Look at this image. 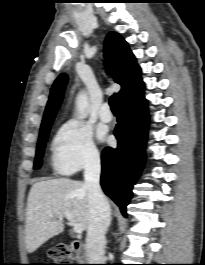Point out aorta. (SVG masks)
<instances>
[{
    "instance_id": "obj_1",
    "label": "aorta",
    "mask_w": 205,
    "mask_h": 265,
    "mask_svg": "<svg viewBox=\"0 0 205 265\" xmlns=\"http://www.w3.org/2000/svg\"><path fill=\"white\" fill-rule=\"evenodd\" d=\"M88 99L87 94L82 91L76 98V110L80 119L87 117Z\"/></svg>"
}]
</instances>
